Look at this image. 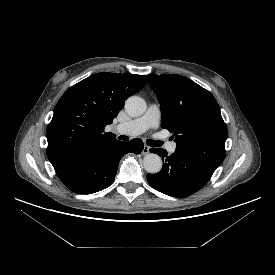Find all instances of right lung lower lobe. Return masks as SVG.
Here are the masks:
<instances>
[{
    "mask_svg": "<svg viewBox=\"0 0 275 275\" xmlns=\"http://www.w3.org/2000/svg\"><path fill=\"white\" fill-rule=\"evenodd\" d=\"M143 141H117L53 165L62 183L75 193L91 194L112 184L120 159L128 152L140 154Z\"/></svg>",
    "mask_w": 275,
    "mask_h": 275,
    "instance_id": "1",
    "label": "right lung lower lobe"
}]
</instances>
